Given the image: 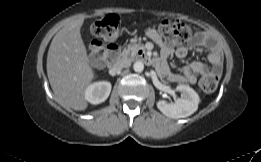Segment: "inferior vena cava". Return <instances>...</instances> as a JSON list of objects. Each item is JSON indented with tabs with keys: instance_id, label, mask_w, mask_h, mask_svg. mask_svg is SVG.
Instances as JSON below:
<instances>
[{
	"instance_id": "obj_1",
	"label": "inferior vena cava",
	"mask_w": 261,
	"mask_h": 162,
	"mask_svg": "<svg viewBox=\"0 0 261 162\" xmlns=\"http://www.w3.org/2000/svg\"><path fill=\"white\" fill-rule=\"evenodd\" d=\"M131 65V61L129 59H123L118 61L117 63L114 64L113 69L118 71L123 68H127Z\"/></svg>"
}]
</instances>
